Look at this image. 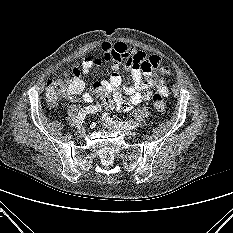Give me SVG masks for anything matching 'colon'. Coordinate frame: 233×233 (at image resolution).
Returning <instances> with one entry per match:
<instances>
[{
    "label": "colon",
    "mask_w": 233,
    "mask_h": 233,
    "mask_svg": "<svg viewBox=\"0 0 233 233\" xmlns=\"http://www.w3.org/2000/svg\"><path fill=\"white\" fill-rule=\"evenodd\" d=\"M67 89L65 81L61 78L48 80L46 83V97L49 103L55 104L59 98L67 94ZM92 92L97 98L102 100L105 108H113L114 103L110 98V93L100 81L93 84ZM151 103L156 111L162 112L167 107V98L164 94L158 92L152 96Z\"/></svg>",
    "instance_id": "obj_1"
}]
</instances>
